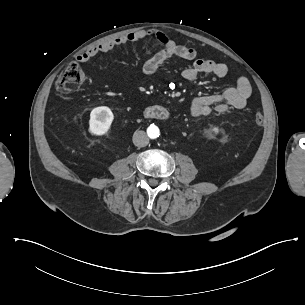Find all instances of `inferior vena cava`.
<instances>
[{"label":"inferior vena cava","instance_id":"602c4592","mask_svg":"<svg viewBox=\"0 0 305 305\" xmlns=\"http://www.w3.org/2000/svg\"><path fill=\"white\" fill-rule=\"evenodd\" d=\"M133 143L137 147H145L149 143V138L144 131H136L133 134Z\"/></svg>","mask_w":305,"mask_h":305}]
</instances>
